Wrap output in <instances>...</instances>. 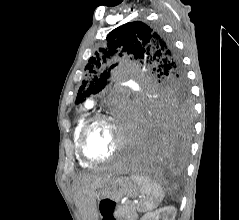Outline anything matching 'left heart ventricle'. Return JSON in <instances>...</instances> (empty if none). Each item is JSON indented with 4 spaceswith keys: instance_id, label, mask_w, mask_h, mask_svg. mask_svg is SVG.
I'll return each mask as SVG.
<instances>
[{
    "instance_id": "1",
    "label": "left heart ventricle",
    "mask_w": 239,
    "mask_h": 220,
    "mask_svg": "<svg viewBox=\"0 0 239 220\" xmlns=\"http://www.w3.org/2000/svg\"><path fill=\"white\" fill-rule=\"evenodd\" d=\"M117 141V131L111 124L98 123L86 138V151L93 158H105L115 150Z\"/></svg>"
}]
</instances>
